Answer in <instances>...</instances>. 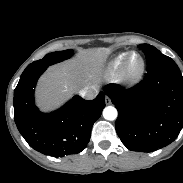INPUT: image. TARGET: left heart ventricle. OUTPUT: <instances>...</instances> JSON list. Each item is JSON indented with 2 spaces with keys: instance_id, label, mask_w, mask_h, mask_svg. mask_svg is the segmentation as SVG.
Returning <instances> with one entry per match:
<instances>
[{
  "instance_id": "1",
  "label": "left heart ventricle",
  "mask_w": 183,
  "mask_h": 183,
  "mask_svg": "<svg viewBox=\"0 0 183 183\" xmlns=\"http://www.w3.org/2000/svg\"><path fill=\"white\" fill-rule=\"evenodd\" d=\"M138 64H139V59L136 56L132 57L130 61V67L132 69H135L138 66Z\"/></svg>"
}]
</instances>
